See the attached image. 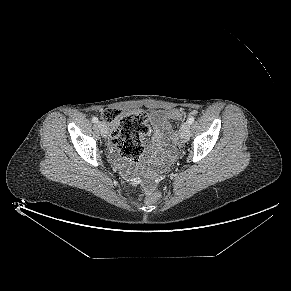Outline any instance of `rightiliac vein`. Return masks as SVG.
Masks as SVG:
<instances>
[{
    "label": "right iliac vein",
    "mask_w": 291,
    "mask_h": 291,
    "mask_svg": "<svg viewBox=\"0 0 291 291\" xmlns=\"http://www.w3.org/2000/svg\"><path fill=\"white\" fill-rule=\"evenodd\" d=\"M98 127H99L102 137L106 138L108 136L107 126L103 122H99Z\"/></svg>",
    "instance_id": "obj_1"
}]
</instances>
